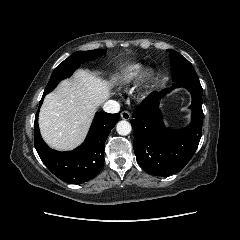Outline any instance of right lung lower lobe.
<instances>
[{
    "label": "right lung lower lobe",
    "mask_w": 240,
    "mask_h": 240,
    "mask_svg": "<svg viewBox=\"0 0 240 240\" xmlns=\"http://www.w3.org/2000/svg\"><path fill=\"white\" fill-rule=\"evenodd\" d=\"M119 117V113H97L83 144L73 151L58 152L49 148L41 138L37 113L34 122L37 153L46 167L61 180L72 184L87 182L99 173L104 163L105 141Z\"/></svg>",
    "instance_id": "1"
}]
</instances>
